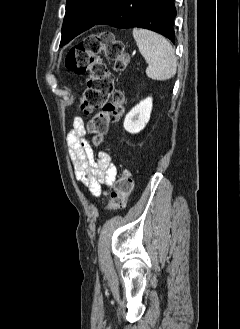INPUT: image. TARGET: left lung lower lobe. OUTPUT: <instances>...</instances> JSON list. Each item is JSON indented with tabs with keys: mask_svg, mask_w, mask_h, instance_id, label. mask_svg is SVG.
Listing matches in <instances>:
<instances>
[{
	"mask_svg": "<svg viewBox=\"0 0 240 329\" xmlns=\"http://www.w3.org/2000/svg\"><path fill=\"white\" fill-rule=\"evenodd\" d=\"M174 0H119L95 25L153 30L175 42Z\"/></svg>",
	"mask_w": 240,
	"mask_h": 329,
	"instance_id": "obj_1",
	"label": "left lung lower lobe"
}]
</instances>
